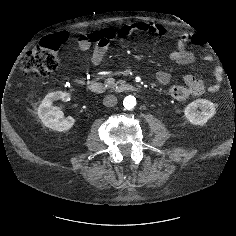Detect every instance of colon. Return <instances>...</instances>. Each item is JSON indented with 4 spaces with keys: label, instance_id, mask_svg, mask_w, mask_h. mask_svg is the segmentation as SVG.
Instances as JSON below:
<instances>
[{
    "label": "colon",
    "instance_id": "colon-1",
    "mask_svg": "<svg viewBox=\"0 0 236 236\" xmlns=\"http://www.w3.org/2000/svg\"><path fill=\"white\" fill-rule=\"evenodd\" d=\"M89 37L95 43L101 39L109 41L114 37V33L111 30L96 31ZM62 43L57 35L45 38L25 56L21 65L22 70L40 76H47L55 72L60 64L58 50Z\"/></svg>",
    "mask_w": 236,
    "mask_h": 236
}]
</instances>
